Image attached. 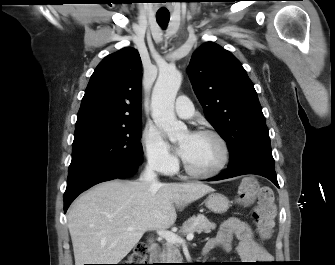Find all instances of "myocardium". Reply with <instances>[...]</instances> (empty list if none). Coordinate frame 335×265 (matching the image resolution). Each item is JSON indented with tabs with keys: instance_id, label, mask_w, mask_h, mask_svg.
Listing matches in <instances>:
<instances>
[{
	"instance_id": "1",
	"label": "myocardium",
	"mask_w": 335,
	"mask_h": 265,
	"mask_svg": "<svg viewBox=\"0 0 335 265\" xmlns=\"http://www.w3.org/2000/svg\"><path fill=\"white\" fill-rule=\"evenodd\" d=\"M193 135L197 136H210L215 138L218 143L220 144L221 150H222V156L220 162L217 164L216 167L209 171H196L188 166V164L185 162V160H182V166L186 174L193 178L198 179H208L217 176L220 174L225 167L227 166L229 160H230V148L228 145V142L226 139L217 131L210 130V129H201L193 132Z\"/></svg>"
}]
</instances>
